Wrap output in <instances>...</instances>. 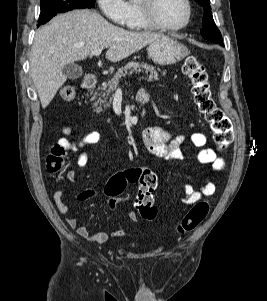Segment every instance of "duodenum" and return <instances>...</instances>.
I'll list each match as a JSON object with an SVG mask.
<instances>
[{
	"label": "duodenum",
	"mask_w": 267,
	"mask_h": 301,
	"mask_svg": "<svg viewBox=\"0 0 267 301\" xmlns=\"http://www.w3.org/2000/svg\"><path fill=\"white\" fill-rule=\"evenodd\" d=\"M96 81L97 80L95 76H87L82 83V88L84 90L91 91L94 89ZM137 101L142 105L148 102V94L146 91L137 94Z\"/></svg>",
	"instance_id": "obj_1"
}]
</instances>
